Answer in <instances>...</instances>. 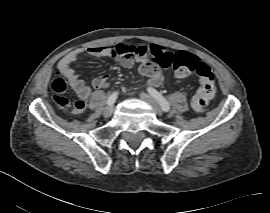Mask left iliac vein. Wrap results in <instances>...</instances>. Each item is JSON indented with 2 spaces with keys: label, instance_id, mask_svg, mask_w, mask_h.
Returning a JSON list of instances; mask_svg holds the SVG:
<instances>
[{
  "label": "left iliac vein",
  "instance_id": "1",
  "mask_svg": "<svg viewBox=\"0 0 270 213\" xmlns=\"http://www.w3.org/2000/svg\"><path fill=\"white\" fill-rule=\"evenodd\" d=\"M140 96L143 100L148 102L153 107V109L157 115H159V116L163 115V109H162L161 105L152 96H150L146 93H143V92L140 94Z\"/></svg>",
  "mask_w": 270,
  "mask_h": 213
}]
</instances>
